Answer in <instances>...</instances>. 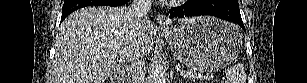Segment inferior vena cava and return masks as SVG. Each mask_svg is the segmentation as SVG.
Masks as SVG:
<instances>
[{
	"label": "inferior vena cava",
	"mask_w": 307,
	"mask_h": 83,
	"mask_svg": "<svg viewBox=\"0 0 307 83\" xmlns=\"http://www.w3.org/2000/svg\"><path fill=\"white\" fill-rule=\"evenodd\" d=\"M151 4L152 0H133L129 7V14L133 20L134 41L129 49L128 61L131 63L133 83H144L145 62L137 37L143 32L144 26L150 22L147 14L151 9Z\"/></svg>",
	"instance_id": "602c4592"
}]
</instances>
